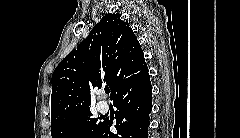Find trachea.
Listing matches in <instances>:
<instances>
[{
  "instance_id": "obj_1",
  "label": "trachea",
  "mask_w": 240,
  "mask_h": 138,
  "mask_svg": "<svg viewBox=\"0 0 240 138\" xmlns=\"http://www.w3.org/2000/svg\"><path fill=\"white\" fill-rule=\"evenodd\" d=\"M110 89L109 88H105V93L109 94Z\"/></svg>"
}]
</instances>
